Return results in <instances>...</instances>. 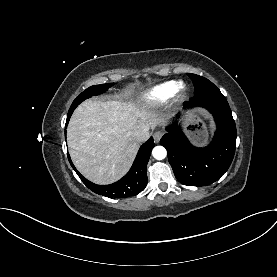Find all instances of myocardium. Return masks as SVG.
Wrapping results in <instances>:
<instances>
[{
	"label": "myocardium",
	"mask_w": 277,
	"mask_h": 277,
	"mask_svg": "<svg viewBox=\"0 0 277 277\" xmlns=\"http://www.w3.org/2000/svg\"><path fill=\"white\" fill-rule=\"evenodd\" d=\"M185 94H186V86L184 85L183 82H177V87L173 97L175 98V100L180 101L185 97Z\"/></svg>",
	"instance_id": "f54148a6"
}]
</instances>
